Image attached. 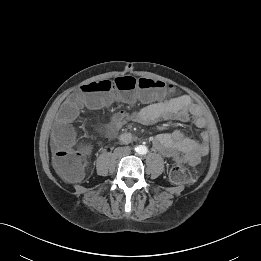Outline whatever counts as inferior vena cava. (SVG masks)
Masks as SVG:
<instances>
[{
	"label": "inferior vena cava",
	"instance_id": "602c4592",
	"mask_svg": "<svg viewBox=\"0 0 261 261\" xmlns=\"http://www.w3.org/2000/svg\"><path fill=\"white\" fill-rule=\"evenodd\" d=\"M131 153V149L129 147H119L116 149V154L118 156H126Z\"/></svg>",
	"mask_w": 261,
	"mask_h": 261
}]
</instances>
